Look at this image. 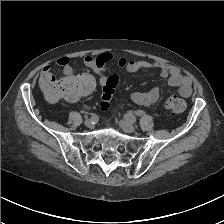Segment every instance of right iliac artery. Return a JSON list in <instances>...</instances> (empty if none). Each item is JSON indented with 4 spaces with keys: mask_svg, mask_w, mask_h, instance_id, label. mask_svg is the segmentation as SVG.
<instances>
[{
    "mask_svg": "<svg viewBox=\"0 0 224 224\" xmlns=\"http://www.w3.org/2000/svg\"><path fill=\"white\" fill-rule=\"evenodd\" d=\"M91 120L93 121V123H96L98 121V116L96 114H92Z\"/></svg>",
    "mask_w": 224,
    "mask_h": 224,
    "instance_id": "right-iliac-artery-1",
    "label": "right iliac artery"
}]
</instances>
